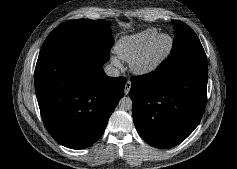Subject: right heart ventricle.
Here are the masks:
<instances>
[{"mask_svg": "<svg viewBox=\"0 0 237 169\" xmlns=\"http://www.w3.org/2000/svg\"><path fill=\"white\" fill-rule=\"evenodd\" d=\"M158 34V29L147 28L140 32L123 36L117 41L115 52L120 59L130 62Z\"/></svg>", "mask_w": 237, "mask_h": 169, "instance_id": "e07e8e85", "label": "right heart ventricle"}]
</instances>
